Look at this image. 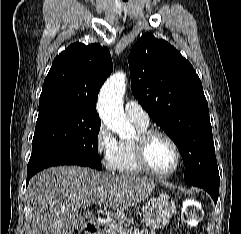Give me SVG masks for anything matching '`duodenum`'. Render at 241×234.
<instances>
[{"mask_svg":"<svg viewBox=\"0 0 241 234\" xmlns=\"http://www.w3.org/2000/svg\"><path fill=\"white\" fill-rule=\"evenodd\" d=\"M85 234H98V222L96 219H92L85 224Z\"/></svg>","mask_w":241,"mask_h":234,"instance_id":"1","label":"duodenum"}]
</instances>
